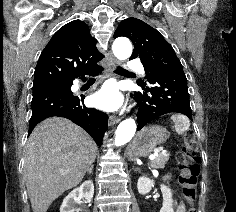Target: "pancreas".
Segmentation results:
<instances>
[{
  "mask_svg": "<svg viewBox=\"0 0 236 212\" xmlns=\"http://www.w3.org/2000/svg\"><path fill=\"white\" fill-rule=\"evenodd\" d=\"M168 161V157L165 155H159L151 161V167L153 168H164Z\"/></svg>",
  "mask_w": 236,
  "mask_h": 212,
  "instance_id": "obj_1",
  "label": "pancreas"
}]
</instances>
